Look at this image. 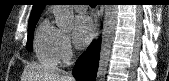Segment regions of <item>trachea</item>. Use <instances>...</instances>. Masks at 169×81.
<instances>
[{
  "label": "trachea",
  "instance_id": "obj_1",
  "mask_svg": "<svg viewBox=\"0 0 169 81\" xmlns=\"http://www.w3.org/2000/svg\"><path fill=\"white\" fill-rule=\"evenodd\" d=\"M82 4H80V5H85L84 3L85 2H81ZM91 7H94L96 4L94 3V2H90V4H89Z\"/></svg>",
  "mask_w": 169,
  "mask_h": 81
}]
</instances>
